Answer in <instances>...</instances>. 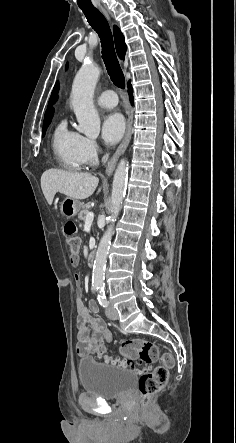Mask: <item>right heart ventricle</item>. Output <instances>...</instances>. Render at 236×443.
Instances as JSON below:
<instances>
[{
  "instance_id": "obj_1",
  "label": "right heart ventricle",
  "mask_w": 236,
  "mask_h": 443,
  "mask_svg": "<svg viewBox=\"0 0 236 443\" xmlns=\"http://www.w3.org/2000/svg\"><path fill=\"white\" fill-rule=\"evenodd\" d=\"M83 136L70 129L65 120L54 129L51 147L58 165L66 170L77 171L84 166L80 146Z\"/></svg>"
}]
</instances>
